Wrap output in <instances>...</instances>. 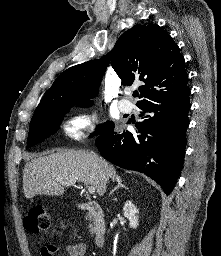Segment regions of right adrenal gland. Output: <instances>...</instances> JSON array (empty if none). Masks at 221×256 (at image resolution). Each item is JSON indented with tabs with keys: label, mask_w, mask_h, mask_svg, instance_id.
<instances>
[{
	"label": "right adrenal gland",
	"mask_w": 221,
	"mask_h": 256,
	"mask_svg": "<svg viewBox=\"0 0 221 256\" xmlns=\"http://www.w3.org/2000/svg\"><path fill=\"white\" fill-rule=\"evenodd\" d=\"M115 181L117 182V186L112 191H110L109 196L120 187L127 188L124 184H122V180L119 176L115 178Z\"/></svg>",
	"instance_id": "obj_1"
}]
</instances>
